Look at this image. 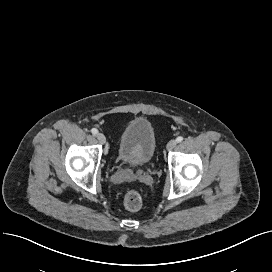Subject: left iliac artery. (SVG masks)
<instances>
[{
	"instance_id": "left-iliac-artery-1",
	"label": "left iliac artery",
	"mask_w": 272,
	"mask_h": 272,
	"mask_svg": "<svg viewBox=\"0 0 272 272\" xmlns=\"http://www.w3.org/2000/svg\"><path fill=\"white\" fill-rule=\"evenodd\" d=\"M176 141L179 143V142H182L183 141V137L182 136H179L176 138Z\"/></svg>"
}]
</instances>
